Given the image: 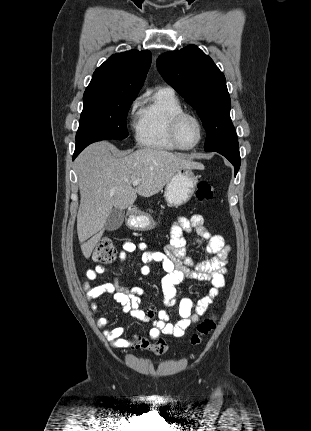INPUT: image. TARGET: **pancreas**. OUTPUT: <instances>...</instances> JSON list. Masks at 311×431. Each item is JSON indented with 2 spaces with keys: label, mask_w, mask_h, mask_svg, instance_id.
Here are the masks:
<instances>
[{
  "label": "pancreas",
  "mask_w": 311,
  "mask_h": 431,
  "mask_svg": "<svg viewBox=\"0 0 311 431\" xmlns=\"http://www.w3.org/2000/svg\"><path fill=\"white\" fill-rule=\"evenodd\" d=\"M160 214H163L162 210H160Z\"/></svg>",
  "instance_id": "obj_1"
}]
</instances>
